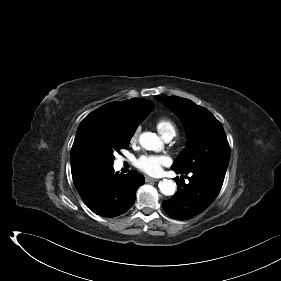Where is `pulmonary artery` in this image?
<instances>
[{
    "mask_svg": "<svg viewBox=\"0 0 281 281\" xmlns=\"http://www.w3.org/2000/svg\"><path fill=\"white\" fill-rule=\"evenodd\" d=\"M171 139H172L171 137L165 138L166 141H169V140H171Z\"/></svg>",
    "mask_w": 281,
    "mask_h": 281,
    "instance_id": "pulmonary-artery-1",
    "label": "pulmonary artery"
}]
</instances>
